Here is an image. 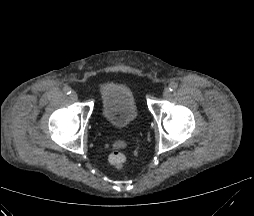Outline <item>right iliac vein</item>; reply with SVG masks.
<instances>
[{"instance_id":"right-iliac-vein-1","label":"right iliac vein","mask_w":254,"mask_h":216,"mask_svg":"<svg viewBox=\"0 0 254 216\" xmlns=\"http://www.w3.org/2000/svg\"><path fill=\"white\" fill-rule=\"evenodd\" d=\"M70 97H71L72 99L75 100V99H77L78 96H77V93L73 91V92L70 94Z\"/></svg>"}]
</instances>
